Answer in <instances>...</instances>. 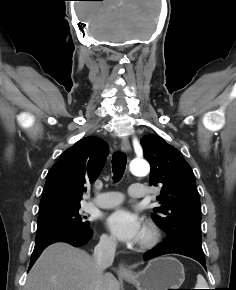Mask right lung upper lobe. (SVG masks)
I'll return each mask as SVG.
<instances>
[{
    "instance_id": "cb5924a9",
    "label": "right lung upper lobe",
    "mask_w": 236,
    "mask_h": 290,
    "mask_svg": "<svg viewBox=\"0 0 236 290\" xmlns=\"http://www.w3.org/2000/svg\"><path fill=\"white\" fill-rule=\"evenodd\" d=\"M108 155L107 144L86 137L64 151L47 174L40 209L80 204L85 187L99 176Z\"/></svg>"
}]
</instances>
